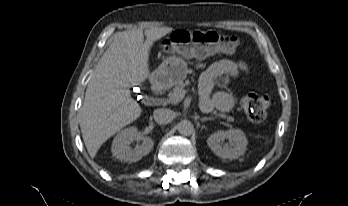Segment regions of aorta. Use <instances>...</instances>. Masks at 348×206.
<instances>
[{
	"mask_svg": "<svg viewBox=\"0 0 348 206\" xmlns=\"http://www.w3.org/2000/svg\"><path fill=\"white\" fill-rule=\"evenodd\" d=\"M178 132L183 136H190L193 133L194 127L189 120H181L177 125Z\"/></svg>",
	"mask_w": 348,
	"mask_h": 206,
	"instance_id": "obj_1",
	"label": "aorta"
}]
</instances>
